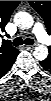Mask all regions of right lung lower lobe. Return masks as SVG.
Wrapping results in <instances>:
<instances>
[{"mask_svg": "<svg viewBox=\"0 0 51 101\" xmlns=\"http://www.w3.org/2000/svg\"><path fill=\"white\" fill-rule=\"evenodd\" d=\"M14 62H15V61H14ZM14 62H13V63H14ZM13 63L11 64V66H10L6 71H3V72L1 73V75H4L5 73H7V71H9V69L12 67Z\"/></svg>", "mask_w": 51, "mask_h": 101, "instance_id": "obj_1", "label": "right lung lower lobe"}]
</instances>
